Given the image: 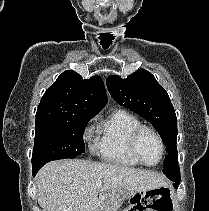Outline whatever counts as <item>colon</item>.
Segmentation results:
<instances>
[{"label": "colon", "instance_id": "obj_1", "mask_svg": "<svg viewBox=\"0 0 209 211\" xmlns=\"http://www.w3.org/2000/svg\"><path fill=\"white\" fill-rule=\"evenodd\" d=\"M170 208V191L162 187L133 196L124 211H169Z\"/></svg>", "mask_w": 209, "mask_h": 211}]
</instances>
